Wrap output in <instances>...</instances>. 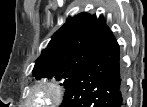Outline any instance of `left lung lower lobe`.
<instances>
[{
  "label": "left lung lower lobe",
  "instance_id": "obj_1",
  "mask_svg": "<svg viewBox=\"0 0 147 107\" xmlns=\"http://www.w3.org/2000/svg\"><path fill=\"white\" fill-rule=\"evenodd\" d=\"M59 107H123L120 49L111 32L68 84Z\"/></svg>",
  "mask_w": 147,
  "mask_h": 107
}]
</instances>
